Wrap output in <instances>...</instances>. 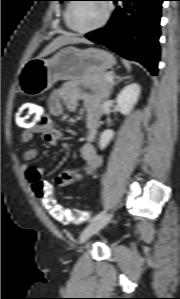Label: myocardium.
Segmentation results:
<instances>
[{"label": "myocardium", "instance_id": "obj_1", "mask_svg": "<svg viewBox=\"0 0 180 299\" xmlns=\"http://www.w3.org/2000/svg\"><path fill=\"white\" fill-rule=\"evenodd\" d=\"M76 1L77 0H74V2L71 3L69 12H68V24H69V27L74 32H76L78 34H87V33L95 32V31L102 29L109 22V20L112 16V12H113V6L109 0H102L104 3V7H105V13H104L102 20L98 24H96L95 26L90 27V28L80 29V28L76 27L73 23V13H74L75 6L77 4Z\"/></svg>", "mask_w": 180, "mask_h": 299}]
</instances>
